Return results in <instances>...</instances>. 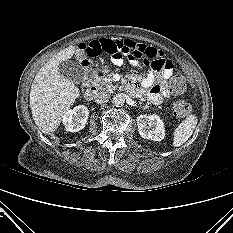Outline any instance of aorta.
<instances>
[{
    "instance_id": "aorta-1",
    "label": "aorta",
    "mask_w": 233,
    "mask_h": 233,
    "mask_svg": "<svg viewBox=\"0 0 233 233\" xmlns=\"http://www.w3.org/2000/svg\"><path fill=\"white\" fill-rule=\"evenodd\" d=\"M112 103L116 107H122L124 105V103H125V98L121 94H116L112 98Z\"/></svg>"
}]
</instances>
